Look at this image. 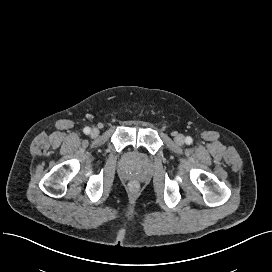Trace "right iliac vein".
<instances>
[{
  "mask_svg": "<svg viewBox=\"0 0 272 272\" xmlns=\"http://www.w3.org/2000/svg\"><path fill=\"white\" fill-rule=\"evenodd\" d=\"M90 134L92 137H97L99 134V130L97 128H93Z\"/></svg>",
  "mask_w": 272,
  "mask_h": 272,
  "instance_id": "right-iliac-vein-1",
  "label": "right iliac vein"
}]
</instances>
